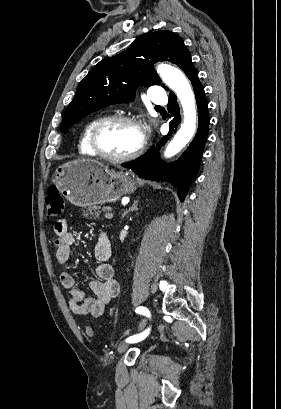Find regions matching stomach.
<instances>
[{"instance_id": "1", "label": "stomach", "mask_w": 281, "mask_h": 409, "mask_svg": "<svg viewBox=\"0 0 281 409\" xmlns=\"http://www.w3.org/2000/svg\"><path fill=\"white\" fill-rule=\"evenodd\" d=\"M131 172H112L98 160L76 158L57 166L52 182L57 190L76 207L115 202L122 194L137 188Z\"/></svg>"}]
</instances>
